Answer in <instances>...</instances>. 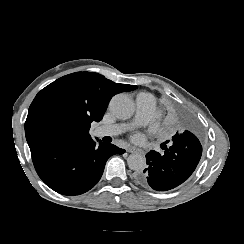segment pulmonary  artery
<instances>
[{"label": "pulmonary artery", "mask_w": 244, "mask_h": 244, "mask_svg": "<svg viewBox=\"0 0 244 244\" xmlns=\"http://www.w3.org/2000/svg\"><path fill=\"white\" fill-rule=\"evenodd\" d=\"M157 113L156 98L148 92H141L136 97V114L134 125L146 124ZM129 128L127 124H114L108 126H100L94 130V135L97 137L116 136Z\"/></svg>", "instance_id": "pulmonary-artery-1"}]
</instances>
